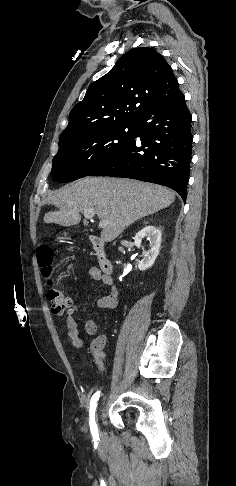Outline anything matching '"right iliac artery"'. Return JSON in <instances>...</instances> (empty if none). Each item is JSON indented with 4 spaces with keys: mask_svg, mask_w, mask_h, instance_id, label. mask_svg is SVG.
Instances as JSON below:
<instances>
[{
    "mask_svg": "<svg viewBox=\"0 0 236 486\" xmlns=\"http://www.w3.org/2000/svg\"><path fill=\"white\" fill-rule=\"evenodd\" d=\"M99 397H100V391L96 392L92 396L91 402H90V410H89V416H90L89 425H90V430H91L94 441L99 440L98 428H97V424H96V421H95V411H96L97 401H98Z\"/></svg>",
    "mask_w": 236,
    "mask_h": 486,
    "instance_id": "82829eb1",
    "label": "right iliac artery"
}]
</instances>
